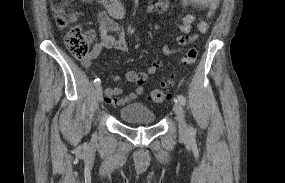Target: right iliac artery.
<instances>
[{
	"label": "right iliac artery",
	"mask_w": 285,
	"mask_h": 183,
	"mask_svg": "<svg viewBox=\"0 0 285 183\" xmlns=\"http://www.w3.org/2000/svg\"><path fill=\"white\" fill-rule=\"evenodd\" d=\"M94 85L95 86L100 85V79L99 78L94 80Z\"/></svg>",
	"instance_id": "82829eb1"
}]
</instances>
